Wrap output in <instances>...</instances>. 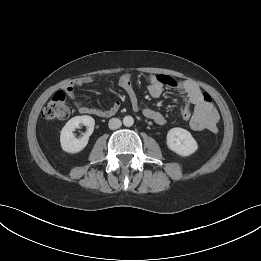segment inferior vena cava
<instances>
[{
    "label": "inferior vena cava",
    "instance_id": "obj_1",
    "mask_svg": "<svg viewBox=\"0 0 261 261\" xmlns=\"http://www.w3.org/2000/svg\"><path fill=\"white\" fill-rule=\"evenodd\" d=\"M122 125V122L118 118H112L109 120L108 126L111 130H115L120 128Z\"/></svg>",
    "mask_w": 261,
    "mask_h": 261
}]
</instances>
